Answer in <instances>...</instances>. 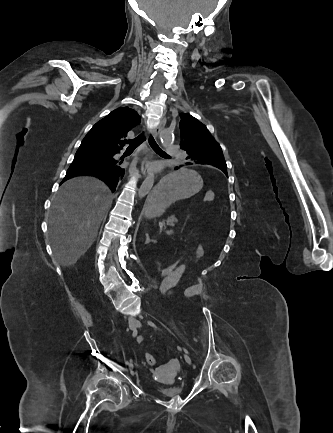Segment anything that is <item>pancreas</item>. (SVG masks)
Listing matches in <instances>:
<instances>
[{
  "mask_svg": "<svg viewBox=\"0 0 333 433\" xmlns=\"http://www.w3.org/2000/svg\"><path fill=\"white\" fill-rule=\"evenodd\" d=\"M165 222H166L167 225L174 226V223L177 222V218H176L174 215H172V216H169V217L166 219V221L163 220V221H162V225H164Z\"/></svg>",
  "mask_w": 333,
  "mask_h": 433,
  "instance_id": "cf45deb5",
  "label": "pancreas"
}]
</instances>
